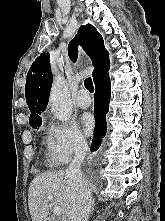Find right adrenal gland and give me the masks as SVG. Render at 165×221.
<instances>
[{
	"label": "right adrenal gland",
	"mask_w": 165,
	"mask_h": 221,
	"mask_svg": "<svg viewBox=\"0 0 165 221\" xmlns=\"http://www.w3.org/2000/svg\"><path fill=\"white\" fill-rule=\"evenodd\" d=\"M93 209H94V200H93V202H92V211H93Z\"/></svg>",
	"instance_id": "2a0ac1e0"
}]
</instances>
